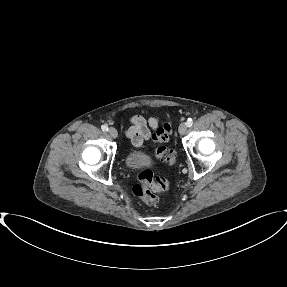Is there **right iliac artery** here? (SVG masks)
Returning a JSON list of instances; mask_svg holds the SVG:
<instances>
[{"label": "right iliac artery", "instance_id": "1", "mask_svg": "<svg viewBox=\"0 0 287 287\" xmlns=\"http://www.w3.org/2000/svg\"><path fill=\"white\" fill-rule=\"evenodd\" d=\"M101 129H102L104 132H107V131L109 130L107 125H102V126H101Z\"/></svg>", "mask_w": 287, "mask_h": 287}]
</instances>
